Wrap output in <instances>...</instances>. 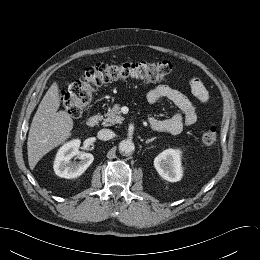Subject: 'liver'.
Masks as SVG:
<instances>
[{
	"label": "liver",
	"mask_w": 260,
	"mask_h": 260,
	"mask_svg": "<svg viewBox=\"0 0 260 260\" xmlns=\"http://www.w3.org/2000/svg\"><path fill=\"white\" fill-rule=\"evenodd\" d=\"M59 89L54 82L44 95L30 126L27 152L30 169L53 148L63 144L73 129V120L66 111H58Z\"/></svg>",
	"instance_id": "obj_1"
}]
</instances>
